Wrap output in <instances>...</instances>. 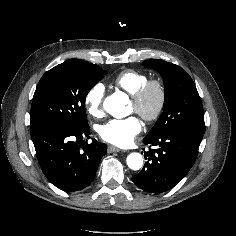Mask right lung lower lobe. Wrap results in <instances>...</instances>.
<instances>
[{
	"mask_svg": "<svg viewBox=\"0 0 236 236\" xmlns=\"http://www.w3.org/2000/svg\"><path fill=\"white\" fill-rule=\"evenodd\" d=\"M30 133L40 167L47 179L61 190L74 192L84 189L95 177L107 146L90 138L88 125L66 128L54 124L30 126ZM80 143V144H79Z\"/></svg>",
	"mask_w": 236,
	"mask_h": 236,
	"instance_id": "1",
	"label": "right lung lower lobe"
}]
</instances>
